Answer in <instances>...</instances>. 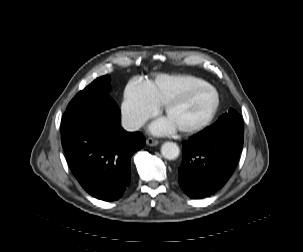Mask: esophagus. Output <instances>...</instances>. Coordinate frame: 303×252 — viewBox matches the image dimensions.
<instances>
[{
    "instance_id": "obj_1",
    "label": "esophagus",
    "mask_w": 303,
    "mask_h": 252,
    "mask_svg": "<svg viewBox=\"0 0 303 252\" xmlns=\"http://www.w3.org/2000/svg\"><path fill=\"white\" fill-rule=\"evenodd\" d=\"M146 144L149 146H156L159 144V141L154 139V138H147L146 139Z\"/></svg>"
}]
</instances>
